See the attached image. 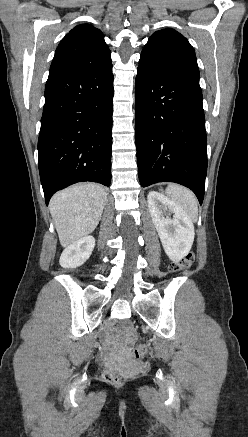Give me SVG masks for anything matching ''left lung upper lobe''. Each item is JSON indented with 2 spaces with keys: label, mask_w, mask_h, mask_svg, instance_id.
<instances>
[{
  "label": "left lung upper lobe",
  "mask_w": 248,
  "mask_h": 437,
  "mask_svg": "<svg viewBox=\"0 0 248 437\" xmlns=\"http://www.w3.org/2000/svg\"><path fill=\"white\" fill-rule=\"evenodd\" d=\"M141 69L199 85V68L193 47L179 32H155L142 50Z\"/></svg>",
  "instance_id": "left-lung-upper-lobe-1"
}]
</instances>
